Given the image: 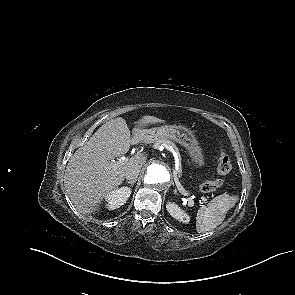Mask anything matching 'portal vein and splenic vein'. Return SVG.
<instances>
[{
	"label": "portal vein and splenic vein",
	"instance_id": "1",
	"mask_svg": "<svg viewBox=\"0 0 295 295\" xmlns=\"http://www.w3.org/2000/svg\"><path fill=\"white\" fill-rule=\"evenodd\" d=\"M128 160H129L128 157H121V158L119 159V161H116V162L112 161V165H113L114 167H119V166H121V165H124ZM175 184H176V187H177L178 191H179L182 195H184V196H189V195L191 194L190 192L186 191V190L182 187V185L180 184V182L178 181L177 178H175ZM201 200L205 203V202L207 201V198L204 197V196H201Z\"/></svg>",
	"mask_w": 295,
	"mask_h": 295
}]
</instances>
